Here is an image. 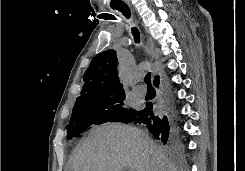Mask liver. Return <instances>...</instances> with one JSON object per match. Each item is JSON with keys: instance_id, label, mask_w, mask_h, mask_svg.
<instances>
[{"instance_id": "6515ba94", "label": "liver", "mask_w": 245, "mask_h": 171, "mask_svg": "<svg viewBox=\"0 0 245 171\" xmlns=\"http://www.w3.org/2000/svg\"><path fill=\"white\" fill-rule=\"evenodd\" d=\"M71 165L73 171H177L142 130L121 124H104L91 130Z\"/></svg>"}]
</instances>
